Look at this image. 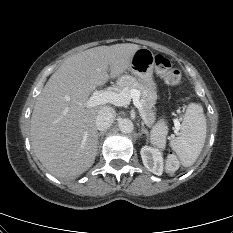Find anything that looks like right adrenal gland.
<instances>
[{"mask_svg": "<svg viewBox=\"0 0 233 233\" xmlns=\"http://www.w3.org/2000/svg\"><path fill=\"white\" fill-rule=\"evenodd\" d=\"M105 133H106L105 131L98 133L99 141H101L103 139V136H104Z\"/></svg>", "mask_w": 233, "mask_h": 233, "instance_id": "1", "label": "right adrenal gland"}]
</instances>
